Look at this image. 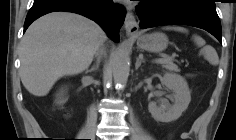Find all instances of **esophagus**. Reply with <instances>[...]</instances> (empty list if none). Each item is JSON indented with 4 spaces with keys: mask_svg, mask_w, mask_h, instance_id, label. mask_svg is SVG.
<instances>
[{
    "mask_svg": "<svg viewBox=\"0 0 236 140\" xmlns=\"http://www.w3.org/2000/svg\"><path fill=\"white\" fill-rule=\"evenodd\" d=\"M124 26L128 35H135L138 33L139 25L131 11H128L126 14Z\"/></svg>",
    "mask_w": 236,
    "mask_h": 140,
    "instance_id": "1",
    "label": "esophagus"
}]
</instances>
